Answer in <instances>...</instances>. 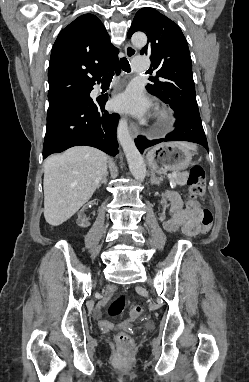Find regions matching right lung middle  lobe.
<instances>
[{"label":"right lung middle lobe","mask_w":249,"mask_h":382,"mask_svg":"<svg viewBox=\"0 0 249 382\" xmlns=\"http://www.w3.org/2000/svg\"><path fill=\"white\" fill-rule=\"evenodd\" d=\"M88 96H89V93L87 90H85V91L73 94L67 98L62 99V100L49 103L47 115L53 114V113L63 109L64 107H66L68 105L80 103V102L86 100L88 98Z\"/></svg>","instance_id":"right-lung-middle-lobe-1"}]
</instances>
